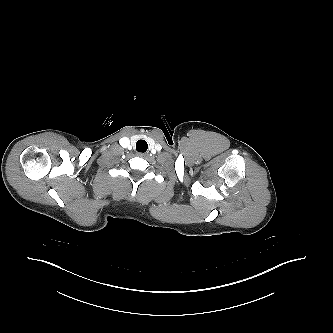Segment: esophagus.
Returning a JSON list of instances; mask_svg holds the SVG:
<instances>
[{
    "label": "esophagus",
    "instance_id": "obj_1",
    "mask_svg": "<svg viewBox=\"0 0 333 333\" xmlns=\"http://www.w3.org/2000/svg\"><path fill=\"white\" fill-rule=\"evenodd\" d=\"M136 155H137L138 157H145V156H146L145 153H141V152L137 153Z\"/></svg>",
    "mask_w": 333,
    "mask_h": 333
}]
</instances>
